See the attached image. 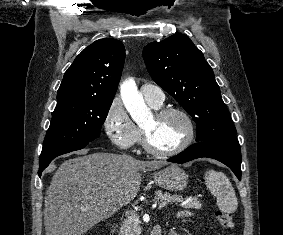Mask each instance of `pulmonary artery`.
<instances>
[{"label":"pulmonary artery","instance_id":"pulmonary-artery-1","mask_svg":"<svg viewBox=\"0 0 283 235\" xmlns=\"http://www.w3.org/2000/svg\"><path fill=\"white\" fill-rule=\"evenodd\" d=\"M141 92L145 100L154 105H161L165 98L163 90L153 84L142 85Z\"/></svg>","mask_w":283,"mask_h":235}]
</instances>
